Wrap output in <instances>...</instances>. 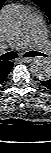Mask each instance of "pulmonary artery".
I'll list each match as a JSON object with an SVG mask.
<instances>
[{
	"label": "pulmonary artery",
	"mask_w": 51,
	"mask_h": 153,
	"mask_svg": "<svg viewBox=\"0 0 51 153\" xmlns=\"http://www.w3.org/2000/svg\"><path fill=\"white\" fill-rule=\"evenodd\" d=\"M30 41H34L38 43L39 47L42 50L47 51L46 33L44 29V23L40 17H36L33 20L27 34L23 38L19 39L18 41L11 43L10 47L11 48H24L28 45Z\"/></svg>",
	"instance_id": "pulmonary-artery-1"
}]
</instances>
